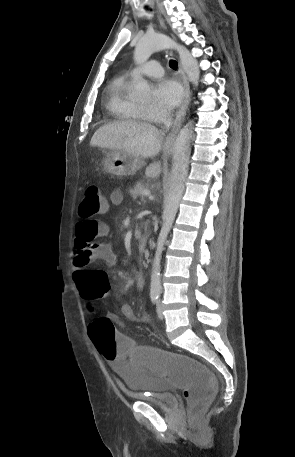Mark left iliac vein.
<instances>
[{
  "label": "left iliac vein",
  "instance_id": "4c4485c4",
  "mask_svg": "<svg viewBox=\"0 0 295 457\" xmlns=\"http://www.w3.org/2000/svg\"><path fill=\"white\" fill-rule=\"evenodd\" d=\"M157 315H158L159 319H163V317H164L163 313H162V304L160 301L157 304Z\"/></svg>",
  "mask_w": 295,
  "mask_h": 457
}]
</instances>
